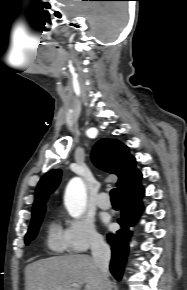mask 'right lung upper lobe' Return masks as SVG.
Masks as SVG:
<instances>
[{
    "instance_id": "right-lung-upper-lobe-1",
    "label": "right lung upper lobe",
    "mask_w": 187,
    "mask_h": 290,
    "mask_svg": "<svg viewBox=\"0 0 187 290\" xmlns=\"http://www.w3.org/2000/svg\"><path fill=\"white\" fill-rule=\"evenodd\" d=\"M94 164L119 177L117 189L120 200L135 198L144 193L140 184L141 172L135 167L136 160L129 154V148L116 139L103 138L96 143L92 151ZM61 171L51 170L40 180L32 210V220L45 212V202L60 182Z\"/></svg>"
}]
</instances>
